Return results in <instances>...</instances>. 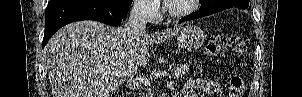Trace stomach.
I'll use <instances>...</instances> for the list:
<instances>
[{"label": "stomach", "instance_id": "0dacf381", "mask_svg": "<svg viewBox=\"0 0 302 97\" xmlns=\"http://www.w3.org/2000/svg\"><path fill=\"white\" fill-rule=\"evenodd\" d=\"M206 35L202 29L194 25H186L177 34V44L182 49L197 50L205 42Z\"/></svg>", "mask_w": 302, "mask_h": 97}]
</instances>
